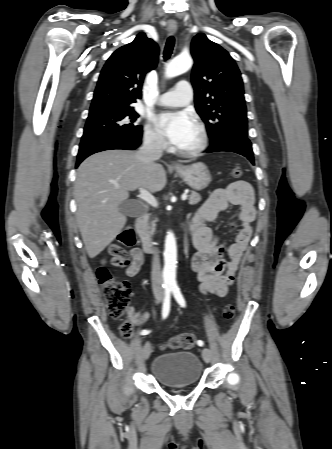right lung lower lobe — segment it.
<instances>
[{"label": "right lung lower lobe", "mask_w": 332, "mask_h": 449, "mask_svg": "<svg viewBox=\"0 0 332 449\" xmlns=\"http://www.w3.org/2000/svg\"><path fill=\"white\" fill-rule=\"evenodd\" d=\"M141 143V135L134 138H124L115 136H103L80 143L79 152L77 155L76 167L88 156L110 149H125L134 150Z\"/></svg>", "instance_id": "98d812e1"}]
</instances>
